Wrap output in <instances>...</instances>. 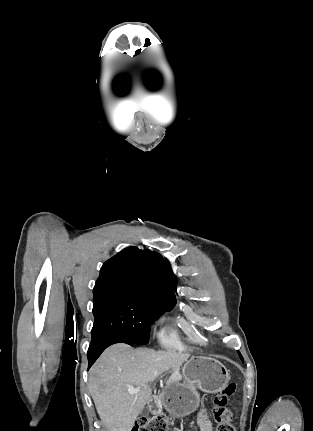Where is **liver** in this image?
<instances>
[{"label":"liver","instance_id":"obj_1","mask_svg":"<svg viewBox=\"0 0 313 431\" xmlns=\"http://www.w3.org/2000/svg\"><path fill=\"white\" fill-rule=\"evenodd\" d=\"M190 354L175 351L133 349L118 343L107 348L89 373V390L107 431H131L152 396L149 383L166 371L177 379ZM140 388L130 394L128 388Z\"/></svg>","mask_w":313,"mask_h":431}]
</instances>
